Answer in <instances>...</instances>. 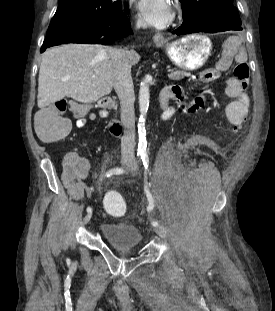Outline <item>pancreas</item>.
<instances>
[{
    "label": "pancreas",
    "instance_id": "1",
    "mask_svg": "<svg viewBox=\"0 0 275 311\" xmlns=\"http://www.w3.org/2000/svg\"><path fill=\"white\" fill-rule=\"evenodd\" d=\"M188 73L186 72H182V71H173L169 74V78L171 80H180L182 79L184 76H187Z\"/></svg>",
    "mask_w": 275,
    "mask_h": 311
}]
</instances>
